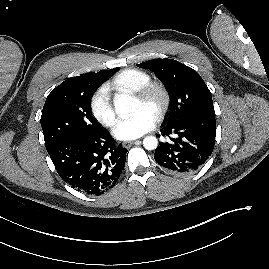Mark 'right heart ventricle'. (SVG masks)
<instances>
[{"label": "right heart ventricle", "instance_id": "1", "mask_svg": "<svg viewBox=\"0 0 269 269\" xmlns=\"http://www.w3.org/2000/svg\"><path fill=\"white\" fill-rule=\"evenodd\" d=\"M149 81L150 75L147 72L136 68H127L115 75L109 85L120 93L134 94Z\"/></svg>", "mask_w": 269, "mask_h": 269}]
</instances>
